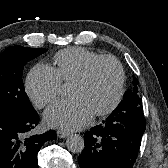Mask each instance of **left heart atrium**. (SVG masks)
<instances>
[{
  "instance_id": "39dd6f15",
  "label": "left heart atrium",
  "mask_w": 168,
  "mask_h": 168,
  "mask_svg": "<svg viewBox=\"0 0 168 168\" xmlns=\"http://www.w3.org/2000/svg\"><path fill=\"white\" fill-rule=\"evenodd\" d=\"M92 116L93 112L84 99L71 97L52 105L44 119L51 127L76 130L87 125Z\"/></svg>"
}]
</instances>
